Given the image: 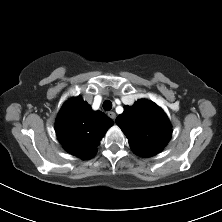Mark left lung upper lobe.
Instances as JSON below:
<instances>
[{"instance_id": "1", "label": "left lung upper lobe", "mask_w": 222, "mask_h": 222, "mask_svg": "<svg viewBox=\"0 0 222 222\" xmlns=\"http://www.w3.org/2000/svg\"><path fill=\"white\" fill-rule=\"evenodd\" d=\"M116 123L127 136L131 150L142 157L156 155L171 138L169 119L150 100L141 99L131 107L125 106Z\"/></svg>"}]
</instances>
